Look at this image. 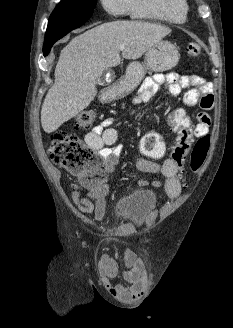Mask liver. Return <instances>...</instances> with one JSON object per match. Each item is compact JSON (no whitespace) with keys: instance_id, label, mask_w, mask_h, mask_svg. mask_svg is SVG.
<instances>
[{"instance_id":"6515ba94","label":"liver","mask_w":233,"mask_h":328,"mask_svg":"<svg viewBox=\"0 0 233 328\" xmlns=\"http://www.w3.org/2000/svg\"><path fill=\"white\" fill-rule=\"evenodd\" d=\"M170 33V28L159 24L112 21L73 38L60 53L54 85L42 105L44 131H56L89 106L103 72L120 64V45L125 46L123 58L135 60Z\"/></svg>"}]
</instances>
